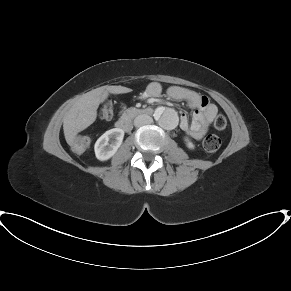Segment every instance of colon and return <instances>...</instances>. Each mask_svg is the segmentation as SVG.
<instances>
[{"label": "colon", "instance_id": "5ec220e1", "mask_svg": "<svg viewBox=\"0 0 291 291\" xmlns=\"http://www.w3.org/2000/svg\"><path fill=\"white\" fill-rule=\"evenodd\" d=\"M99 118L103 121H108L113 115V106L110 100H106L99 109ZM214 126L218 130H223L227 126V119L223 114H217L214 120ZM221 140L218 136L210 134L204 138L203 146L207 152H215L220 148ZM78 152H84L86 150V144L84 142H78L76 145Z\"/></svg>", "mask_w": 291, "mask_h": 291}]
</instances>
